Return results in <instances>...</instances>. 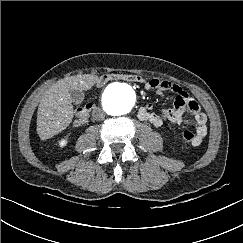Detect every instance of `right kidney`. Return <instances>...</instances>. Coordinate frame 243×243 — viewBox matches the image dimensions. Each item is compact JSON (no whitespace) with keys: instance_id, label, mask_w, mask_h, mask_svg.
I'll return each instance as SVG.
<instances>
[{"instance_id":"ca27d5eb","label":"right kidney","mask_w":243,"mask_h":243,"mask_svg":"<svg viewBox=\"0 0 243 243\" xmlns=\"http://www.w3.org/2000/svg\"><path fill=\"white\" fill-rule=\"evenodd\" d=\"M67 139H62V140H60L59 141V145H60V147H64V146H66V144H67Z\"/></svg>"}]
</instances>
